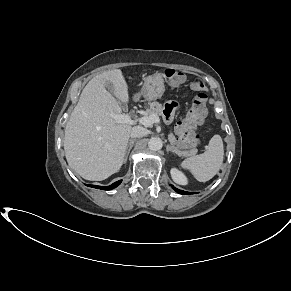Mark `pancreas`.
<instances>
[{"mask_svg": "<svg viewBox=\"0 0 291 291\" xmlns=\"http://www.w3.org/2000/svg\"><path fill=\"white\" fill-rule=\"evenodd\" d=\"M162 111H163L162 104L154 101V102L150 103L149 108H147V110H146V114L148 116L152 115V114H156L159 116V115H162ZM168 139L171 142V144H175L176 139L172 133H170L168 135ZM176 149H177L176 151L179 153L180 156H190V155L196 154V152H197V150L195 148H192L190 150H178V148H176Z\"/></svg>", "mask_w": 291, "mask_h": 291, "instance_id": "pancreas-1", "label": "pancreas"}]
</instances>
